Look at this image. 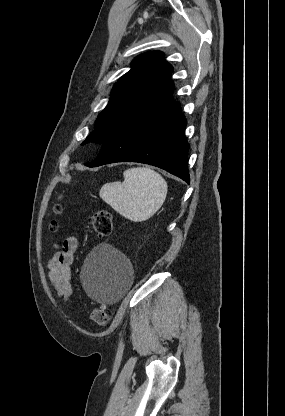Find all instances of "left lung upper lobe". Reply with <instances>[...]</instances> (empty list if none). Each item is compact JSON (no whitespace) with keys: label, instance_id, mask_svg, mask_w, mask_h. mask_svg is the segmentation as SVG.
<instances>
[{"label":"left lung upper lobe","instance_id":"left-lung-upper-lobe-1","mask_svg":"<svg viewBox=\"0 0 285 416\" xmlns=\"http://www.w3.org/2000/svg\"><path fill=\"white\" fill-rule=\"evenodd\" d=\"M164 54L152 51L137 56L133 68L114 85L112 98L96 120L88 142L104 144L130 122L154 112L173 101L172 67Z\"/></svg>","mask_w":285,"mask_h":416}]
</instances>
